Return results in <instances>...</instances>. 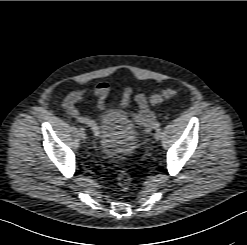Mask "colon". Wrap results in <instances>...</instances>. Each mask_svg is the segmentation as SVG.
Returning <instances> with one entry per match:
<instances>
[{
	"label": "colon",
	"instance_id": "1",
	"mask_svg": "<svg viewBox=\"0 0 247 245\" xmlns=\"http://www.w3.org/2000/svg\"><path fill=\"white\" fill-rule=\"evenodd\" d=\"M178 90L174 88H168L162 93H157L151 96L152 104L158 106L165 100L178 94ZM131 176L126 170H121L117 175V183L121 190H128L131 186Z\"/></svg>",
	"mask_w": 247,
	"mask_h": 245
}]
</instances>
